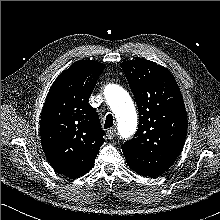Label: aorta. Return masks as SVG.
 Returning <instances> with one entry per match:
<instances>
[{
    "label": "aorta",
    "mask_w": 220,
    "mask_h": 220,
    "mask_svg": "<svg viewBox=\"0 0 220 220\" xmlns=\"http://www.w3.org/2000/svg\"><path fill=\"white\" fill-rule=\"evenodd\" d=\"M104 95L117 119L120 137L128 139L137 128V114L129 93L119 85L109 84Z\"/></svg>",
    "instance_id": "762f6f07"
}]
</instances>
